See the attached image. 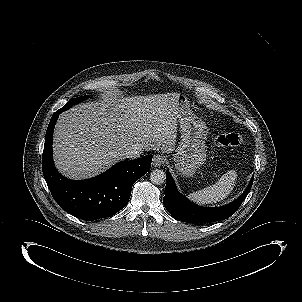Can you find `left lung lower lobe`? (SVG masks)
I'll list each match as a JSON object with an SVG mask.
<instances>
[{"label": "left lung lower lobe", "instance_id": "left-lung-lower-lobe-1", "mask_svg": "<svg viewBox=\"0 0 302 302\" xmlns=\"http://www.w3.org/2000/svg\"><path fill=\"white\" fill-rule=\"evenodd\" d=\"M253 178L247 189L235 201L228 205L216 208H206L194 205L178 193L170 173H166V187L163 203L167 211L178 221L188 223H210L224 220L238 210L245 197L248 195Z\"/></svg>", "mask_w": 302, "mask_h": 302}]
</instances>
